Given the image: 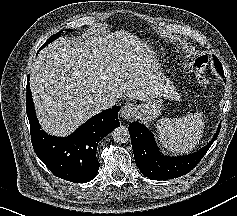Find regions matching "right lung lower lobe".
I'll return each mask as SVG.
<instances>
[{
  "instance_id": "1",
  "label": "right lung lower lobe",
  "mask_w": 237,
  "mask_h": 216,
  "mask_svg": "<svg viewBox=\"0 0 237 216\" xmlns=\"http://www.w3.org/2000/svg\"><path fill=\"white\" fill-rule=\"evenodd\" d=\"M120 106L90 118L72 135L64 138L47 135L38 123L27 78L26 112L35 153L47 168L64 180L85 183L95 178L99 169L96 150L99 141L120 126Z\"/></svg>"
}]
</instances>
